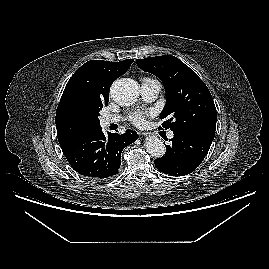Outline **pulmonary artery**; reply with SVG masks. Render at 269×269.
Masks as SVG:
<instances>
[{"label": "pulmonary artery", "instance_id": "pulmonary-artery-1", "mask_svg": "<svg viewBox=\"0 0 269 269\" xmlns=\"http://www.w3.org/2000/svg\"><path fill=\"white\" fill-rule=\"evenodd\" d=\"M161 90V84L158 80L151 78H144L141 83V97L146 102L155 100ZM119 117L105 116L102 119L104 126L110 125L111 123L117 122ZM173 132H169L168 137L172 138Z\"/></svg>", "mask_w": 269, "mask_h": 269}]
</instances>
